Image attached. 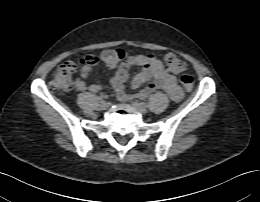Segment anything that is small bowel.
<instances>
[{
	"mask_svg": "<svg viewBox=\"0 0 260 202\" xmlns=\"http://www.w3.org/2000/svg\"><path fill=\"white\" fill-rule=\"evenodd\" d=\"M135 66L140 67L141 70L132 78L131 88L137 89L148 83L147 86L136 94V97L145 99L153 92L162 90L174 101H179L182 98V91L176 82V78L165 70L159 59L148 54L129 56L113 73L111 83L119 100L126 101L130 98L125 91V82L129 77L130 70ZM91 73L92 70H82L80 77L76 81V89L78 91L99 92L102 90V86L98 84L87 85L85 82V79Z\"/></svg>",
	"mask_w": 260,
	"mask_h": 202,
	"instance_id": "obj_1",
	"label": "small bowel"
}]
</instances>
